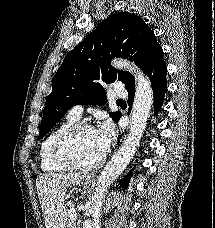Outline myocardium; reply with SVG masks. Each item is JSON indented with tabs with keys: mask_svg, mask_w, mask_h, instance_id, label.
I'll use <instances>...</instances> for the list:
<instances>
[{
	"mask_svg": "<svg viewBox=\"0 0 215 228\" xmlns=\"http://www.w3.org/2000/svg\"><path fill=\"white\" fill-rule=\"evenodd\" d=\"M95 130V128L86 122H76L63 131H61L57 137L54 139L52 146H51V158L53 162L58 165L59 167L72 170V171H79V172H89L99 168L105 161L106 153H103L102 156L95 161L94 163L88 165H78L72 162L65 152V146L67 142L76 135L81 130Z\"/></svg>",
	"mask_w": 215,
	"mask_h": 228,
	"instance_id": "obj_1",
	"label": "myocardium"
}]
</instances>
